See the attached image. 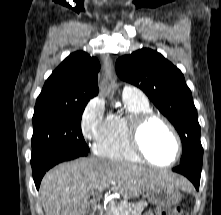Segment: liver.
<instances>
[{"instance_id": "1", "label": "liver", "mask_w": 221, "mask_h": 215, "mask_svg": "<svg viewBox=\"0 0 221 215\" xmlns=\"http://www.w3.org/2000/svg\"><path fill=\"white\" fill-rule=\"evenodd\" d=\"M113 184L124 199L169 185L187 188L189 183L177 174L101 158H80L59 164L42 179L39 193L45 215H84L90 195Z\"/></svg>"}]
</instances>
